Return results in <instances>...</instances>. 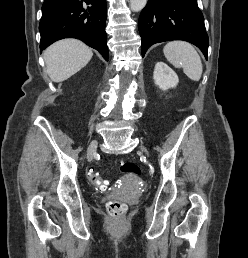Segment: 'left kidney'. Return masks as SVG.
<instances>
[{
	"mask_svg": "<svg viewBox=\"0 0 248 258\" xmlns=\"http://www.w3.org/2000/svg\"><path fill=\"white\" fill-rule=\"evenodd\" d=\"M153 78L155 84L162 90L174 88L179 82L177 74L164 62H157Z\"/></svg>",
	"mask_w": 248,
	"mask_h": 258,
	"instance_id": "5707ae66",
	"label": "left kidney"
}]
</instances>
